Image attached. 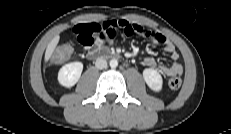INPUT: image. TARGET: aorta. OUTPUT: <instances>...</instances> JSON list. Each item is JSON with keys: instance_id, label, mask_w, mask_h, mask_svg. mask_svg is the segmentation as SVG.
<instances>
[{"instance_id": "obj_1", "label": "aorta", "mask_w": 231, "mask_h": 134, "mask_svg": "<svg viewBox=\"0 0 231 134\" xmlns=\"http://www.w3.org/2000/svg\"><path fill=\"white\" fill-rule=\"evenodd\" d=\"M109 64L111 68H116L118 66V61L116 59H112Z\"/></svg>"}]
</instances>
